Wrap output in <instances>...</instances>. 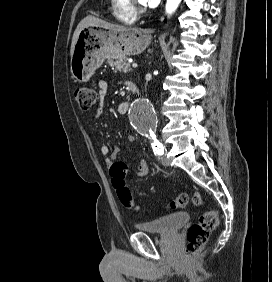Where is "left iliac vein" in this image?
<instances>
[{
	"instance_id": "obj_1",
	"label": "left iliac vein",
	"mask_w": 272,
	"mask_h": 282,
	"mask_svg": "<svg viewBox=\"0 0 272 282\" xmlns=\"http://www.w3.org/2000/svg\"><path fill=\"white\" fill-rule=\"evenodd\" d=\"M163 163L165 166H169V161L167 159H163Z\"/></svg>"
}]
</instances>
